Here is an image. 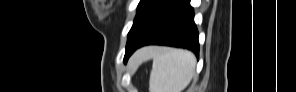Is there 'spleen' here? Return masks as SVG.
<instances>
[{
  "label": "spleen",
  "instance_id": "3e777b00",
  "mask_svg": "<svg viewBox=\"0 0 296 92\" xmlns=\"http://www.w3.org/2000/svg\"><path fill=\"white\" fill-rule=\"evenodd\" d=\"M141 57L153 58L150 92H182L195 74L196 58L186 50L156 47Z\"/></svg>",
  "mask_w": 296,
  "mask_h": 92
}]
</instances>
